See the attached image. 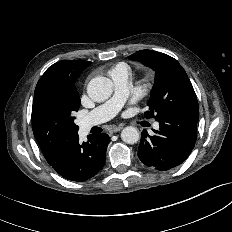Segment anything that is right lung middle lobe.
<instances>
[{"mask_svg":"<svg viewBox=\"0 0 232 232\" xmlns=\"http://www.w3.org/2000/svg\"><path fill=\"white\" fill-rule=\"evenodd\" d=\"M81 73L38 81L32 106V130L41 148H52L78 134L73 114L80 106L75 82Z\"/></svg>","mask_w":232,"mask_h":232,"instance_id":"dd1d6c3e","label":"right lung middle lobe"}]
</instances>
